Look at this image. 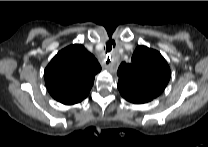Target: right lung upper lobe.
<instances>
[{"label":"right lung upper lobe","instance_id":"right-lung-upper-lobe-1","mask_svg":"<svg viewBox=\"0 0 208 147\" xmlns=\"http://www.w3.org/2000/svg\"><path fill=\"white\" fill-rule=\"evenodd\" d=\"M101 66L80 44L70 45L51 60L44 71L45 84L57 101L72 105L88 95Z\"/></svg>","mask_w":208,"mask_h":147}]
</instances>
